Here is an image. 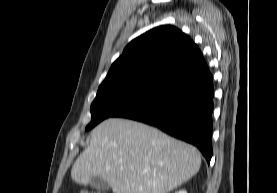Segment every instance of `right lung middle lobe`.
Wrapping results in <instances>:
<instances>
[{
    "mask_svg": "<svg viewBox=\"0 0 277 193\" xmlns=\"http://www.w3.org/2000/svg\"><path fill=\"white\" fill-rule=\"evenodd\" d=\"M152 92L153 90L131 87L98 89L90 108L91 122L86 126V131L133 106Z\"/></svg>",
    "mask_w": 277,
    "mask_h": 193,
    "instance_id": "dd1d6c3e",
    "label": "right lung middle lobe"
}]
</instances>
